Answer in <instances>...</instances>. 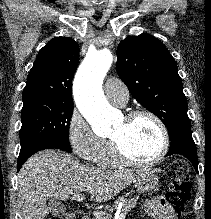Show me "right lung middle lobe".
Wrapping results in <instances>:
<instances>
[{
    "instance_id": "1",
    "label": "right lung middle lobe",
    "mask_w": 211,
    "mask_h": 219,
    "mask_svg": "<svg viewBox=\"0 0 211 219\" xmlns=\"http://www.w3.org/2000/svg\"><path fill=\"white\" fill-rule=\"evenodd\" d=\"M72 113L73 103L50 99L23 102L21 150L41 142L57 143L71 149L68 133Z\"/></svg>"
}]
</instances>
